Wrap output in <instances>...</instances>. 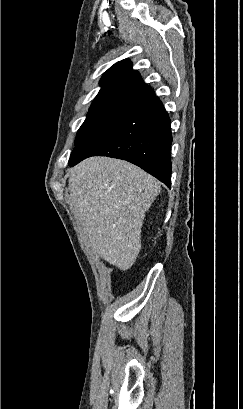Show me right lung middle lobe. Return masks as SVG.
I'll return each mask as SVG.
<instances>
[{
	"instance_id": "1",
	"label": "right lung middle lobe",
	"mask_w": 243,
	"mask_h": 409,
	"mask_svg": "<svg viewBox=\"0 0 243 409\" xmlns=\"http://www.w3.org/2000/svg\"><path fill=\"white\" fill-rule=\"evenodd\" d=\"M121 103L122 101L118 100L93 101L86 120L77 132L75 148L97 130L117 110Z\"/></svg>"
}]
</instances>
